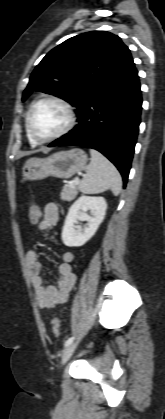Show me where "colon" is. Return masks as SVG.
<instances>
[{"instance_id":"colon-1","label":"colon","mask_w":165,"mask_h":419,"mask_svg":"<svg viewBox=\"0 0 165 419\" xmlns=\"http://www.w3.org/2000/svg\"><path fill=\"white\" fill-rule=\"evenodd\" d=\"M41 216L40 207L37 204H31L29 206V217L32 223H37ZM52 332L55 336L60 335V322L57 318L52 321Z\"/></svg>"}]
</instances>
